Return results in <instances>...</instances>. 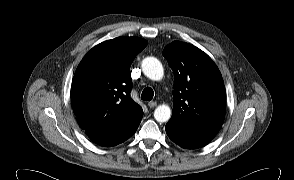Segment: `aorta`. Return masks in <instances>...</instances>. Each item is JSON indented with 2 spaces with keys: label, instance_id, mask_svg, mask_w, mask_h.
Masks as SVG:
<instances>
[{
  "label": "aorta",
  "instance_id": "1",
  "mask_svg": "<svg viewBox=\"0 0 294 180\" xmlns=\"http://www.w3.org/2000/svg\"><path fill=\"white\" fill-rule=\"evenodd\" d=\"M142 71L151 80L159 81L163 78L164 69L161 62L155 57L143 59ZM171 117V109L168 105H159L154 111V118L157 122H167Z\"/></svg>",
  "mask_w": 294,
  "mask_h": 180
}]
</instances>
